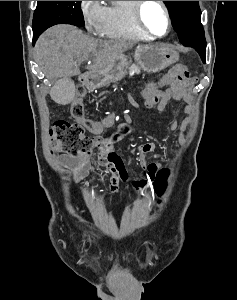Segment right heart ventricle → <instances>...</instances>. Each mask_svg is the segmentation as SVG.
I'll return each instance as SVG.
<instances>
[{
  "label": "right heart ventricle",
  "mask_w": 237,
  "mask_h": 300,
  "mask_svg": "<svg viewBox=\"0 0 237 300\" xmlns=\"http://www.w3.org/2000/svg\"><path fill=\"white\" fill-rule=\"evenodd\" d=\"M136 1H111L106 7L103 34L107 36H125L146 38L147 34L138 26L134 6Z\"/></svg>",
  "instance_id": "right-heart-ventricle-1"
}]
</instances>
